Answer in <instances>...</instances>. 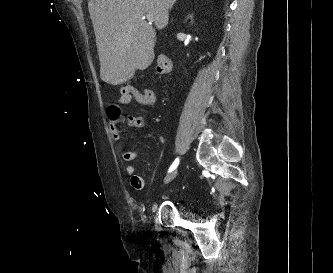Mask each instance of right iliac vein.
I'll use <instances>...</instances> for the list:
<instances>
[{
  "label": "right iliac vein",
  "mask_w": 333,
  "mask_h": 273,
  "mask_svg": "<svg viewBox=\"0 0 333 273\" xmlns=\"http://www.w3.org/2000/svg\"><path fill=\"white\" fill-rule=\"evenodd\" d=\"M177 170H173L170 172L164 179V184L170 183L176 176H177Z\"/></svg>",
  "instance_id": "right-iliac-vein-1"
}]
</instances>
